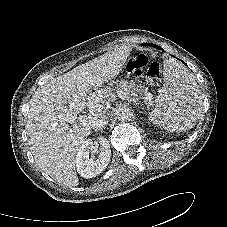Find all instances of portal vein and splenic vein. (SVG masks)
Here are the masks:
<instances>
[{
  "mask_svg": "<svg viewBox=\"0 0 227 227\" xmlns=\"http://www.w3.org/2000/svg\"><path fill=\"white\" fill-rule=\"evenodd\" d=\"M118 96L121 99L125 98V95L121 94L119 92H118ZM145 99L148 100V101H151L152 100V95L150 93H148L147 96L145 97ZM90 118H91V116L80 115L79 116V124L82 125V126H86V125L90 124Z\"/></svg>",
  "mask_w": 227,
  "mask_h": 227,
  "instance_id": "1",
  "label": "portal vein and splenic vein"
}]
</instances>
